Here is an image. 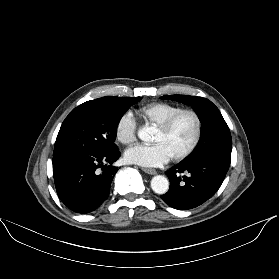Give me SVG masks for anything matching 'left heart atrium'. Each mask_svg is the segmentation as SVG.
<instances>
[{
    "label": "left heart atrium",
    "mask_w": 279,
    "mask_h": 279,
    "mask_svg": "<svg viewBox=\"0 0 279 279\" xmlns=\"http://www.w3.org/2000/svg\"><path fill=\"white\" fill-rule=\"evenodd\" d=\"M126 160L140 166L152 167L162 165L172 157L162 143L153 145H136L125 153Z\"/></svg>",
    "instance_id": "39dd6f15"
}]
</instances>
